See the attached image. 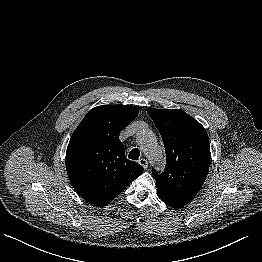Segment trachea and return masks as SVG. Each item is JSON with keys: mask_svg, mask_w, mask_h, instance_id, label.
<instances>
[{"mask_svg": "<svg viewBox=\"0 0 262 262\" xmlns=\"http://www.w3.org/2000/svg\"><path fill=\"white\" fill-rule=\"evenodd\" d=\"M140 156V150L138 148H134L130 151L128 158L132 160H137Z\"/></svg>", "mask_w": 262, "mask_h": 262, "instance_id": "obj_1", "label": "trachea"}]
</instances>
